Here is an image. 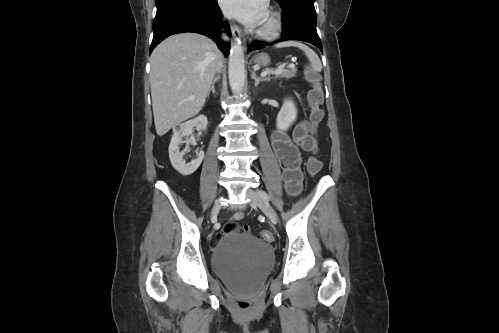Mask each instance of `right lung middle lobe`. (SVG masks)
<instances>
[{
  "instance_id": "obj_1",
  "label": "right lung middle lobe",
  "mask_w": 499,
  "mask_h": 333,
  "mask_svg": "<svg viewBox=\"0 0 499 333\" xmlns=\"http://www.w3.org/2000/svg\"><path fill=\"white\" fill-rule=\"evenodd\" d=\"M166 1H170V0H156V6H159ZM187 1L194 2V3H200V2H204L206 0H187Z\"/></svg>"
}]
</instances>
